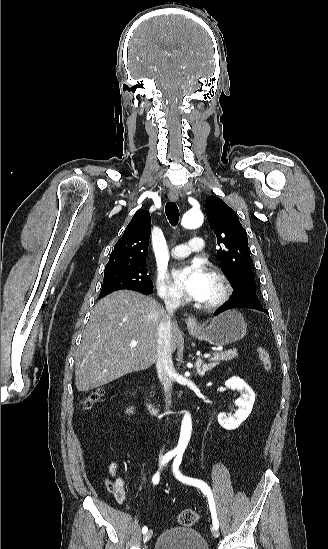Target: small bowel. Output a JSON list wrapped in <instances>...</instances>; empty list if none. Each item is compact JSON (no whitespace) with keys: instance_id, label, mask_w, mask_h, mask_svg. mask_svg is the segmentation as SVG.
<instances>
[{"instance_id":"1","label":"small bowel","mask_w":328,"mask_h":549,"mask_svg":"<svg viewBox=\"0 0 328 549\" xmlns=\"http://www.w3.org/2000/svg\"><path fill=\"white\" fill-rule=\"evenodd\" d=\"M108 473L115 478V481L113 482H107V487L109 491L114 496L115 500L119 504H123L126 502V491L125 487L127 484V481L124 477L120 476L119 474V465L115 461H111L108 465ZM143 482L145 481V477L142 478Z\"/></svg>"}]
</instances>
